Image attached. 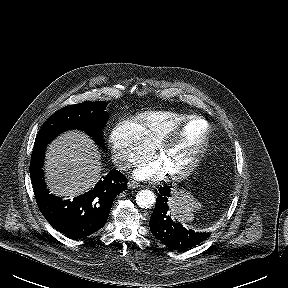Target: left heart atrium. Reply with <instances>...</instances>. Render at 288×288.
<instances>
[{
	"instance_id": "obj_1",
	"label": "left heart atrium",
	"mask_w": 288,
	"mask_h": 288,
	"mask_svg": "<svg viewBox=\"0 0 288 288\" xmlns=\"http://www.w3.org/2000/svg\"><path fill=\"white\" fill-rule=\"evenodd\" d=\"M164 168L158 160L143 164L135 170L134 175L138 179H155L162 176Z\"/></svg>"
}]
</instances>
